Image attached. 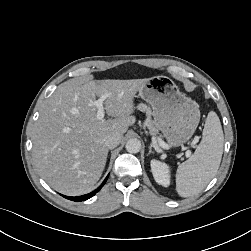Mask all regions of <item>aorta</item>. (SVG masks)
Masks as SVG:
<instances>
[{"label": "aorta", "instance_id": "obj_1", "mask_svg": "<svg viewBox=\"0 0 251 251\" xmlns=\"http://www.w3.org/2000/svg\"><path fill=\"white\" fill-rule=\"evenodd\" d=\"M125 148L129 153H138L141 149V142L136 138L129 139L126 143Z\"/></svg>", "mask_w": 251, "mask_h": 251}]
</instances>
